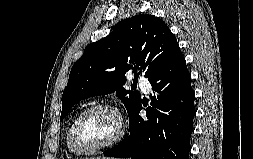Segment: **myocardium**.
Masks as SVG:
<instances>
[{
  "label": "myocardium",
  "instance_id": "obj_1",
  "mask_svg": "<svg viewBox=\"0 0 253 159\" xmlns=\"http://www.w3.org/2000/svg\"><path fill=\"white\" fill-rule=\"evenodd\" d=\"M98 109L109 110L110 112L114 114L117 120V124H118L117 132L115 136L109 141H107L106 143L93 147V148L83 149L78 145L77 140H76L78 126L85 115H87L91 111L98 110ZM125 133H126V122H125L124 116L122 112L115 105L111 103H106V102L93 104L85 108L83 111H81L80 114L74 119L70 128V147L71 149H73L75 152L79 154L90 155V154L108 149L116 145L123 139Z\"/></svg>",
  "mask_w": 253,
  "mask_h": 159
}]
</instances>
